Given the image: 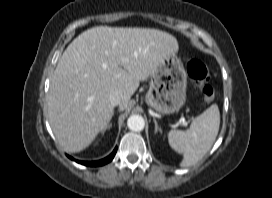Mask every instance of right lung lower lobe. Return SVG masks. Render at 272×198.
Listing matches in <instances>:
<instances>
[{
	"label": "right lung lower lobe",
	"instance_id": "98d812e1",
	"mask_svg": "<svg viewBox=\"0 0 272 198\" xmlns=\"http://www.w3.org/2000/svg\"><path fill=\"white\" fill-rule=\"evenodd\" d=\"M116 151H117V148H115L114 151L108 157H106L102 160H99V161L85 162V161L76 160V162H78L82 165H86V166H101V165H104V164H107L108 162H110L114 158ZM69 158L73 160L72 157L69 156Z\"/></svg>",
	"mask_w": 272,
	"mask_h": 198
}]
</instances>
